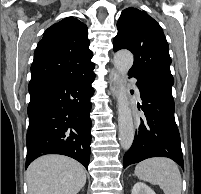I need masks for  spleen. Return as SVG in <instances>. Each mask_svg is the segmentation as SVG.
<instances>
[{
	"label": "spleen",
	"instance_id": "obj_1",
	"mask_svg": "<svg viewBox=\"0 0 201 194\" xmlns=\"http://www.w3.org/2000/svg\"><path fill=\"white\" fill-rule=\"evenodd\" d=\"M135 175L153 185H159L165 194H181L182 179L177 164L167 158H151L138 163Z\"/></svg>",
	"mask_w": 201,
	"mask_h": 194
}]
</instances>
